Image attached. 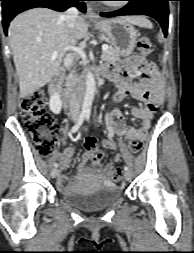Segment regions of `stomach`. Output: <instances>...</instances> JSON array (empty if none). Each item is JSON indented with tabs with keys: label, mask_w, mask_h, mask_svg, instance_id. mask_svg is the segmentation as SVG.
<instances>
[{
	"label": "stomach",
	"mask_w": 194,
	"mask_h": 253,
	"mask_svg": "<svg viewBox=\"0 0 194 253\" xmlns=\"http://www.w3.org/2000/svg\"><path fill=\"white\" fill-rule=\"evenodd\" d=\"M95 27L110 40L118 53L129 56L137 43V30L125 19L113 18L94 23Z\"/></svg>",
	"instance_id": "0dacf381"
}]
</instances>
